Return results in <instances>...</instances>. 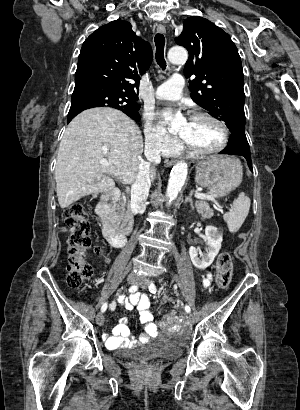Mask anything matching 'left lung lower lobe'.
I'll return each instance as SVG.
<instances>
[{
  "label": "left lung lower lobe",
  "mask_w": 300,
  "mask_h": 410,
  "mask_svg": "<svg viewBox=\"0 0 300 410\" xmlns=\"http://www.w3.org/2000/svg\"><path fill=\"white\" fill-rule=\"evenodd\" d=\"M221 154L241 155L246 158L249 168L252 170V161L249 144L246 136L234 133L231 135L228 146L220 152Z\"/></svg>",
  "instance_id": "left-lung-lower-lobe-1"
}]
</instances>
